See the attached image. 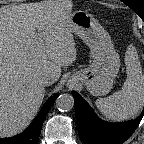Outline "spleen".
I'll use <instances>...</instances> for the list:
<instances>
[{
  "mask_svg": "<svg viewBox=\"0 0 144 144\" xmlns=\"http://www.w3.org/2000/svg\"><path fill=\"white\" fill-rule=\"evenodd\" d=\"M126 69L127 78L122 89L95 102L102 115L112 121L132 118L144 105V76L138 58L132 57Z\"/></svg>",
  "mask_w": 144,
  "mask_h": 144,
  "instance_id": "obj_1",
  "label": "spleen"
}]
</instances>
